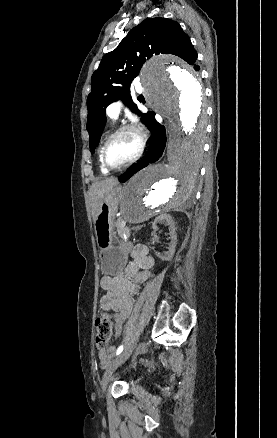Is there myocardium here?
I'll return each mask as SVG.
<instances>
[{"label": "myocardium", "mask_w": 277, "mask_h": 438, "mask_svg": "<svg viewBox=\"0 0 277 438\" xmlns=\"http://www.w3.org/2000/svg\"><path fill=\"white\" fill-rule=\"evenodd\" d=\"M124 133H131V134L136 136V138L138 140L137 151H136L135 155L127 162H125L119 166H112L108 162V159H107V150H108L110 144L112 143V141ZM144 147H145V137H144L143 133L141 132V130L136 125L127 124V125L121 126L118 129H116L106 139V141L102 147V151H101V162L108 170H111V171L125 169V168L131 166L133 163H135L142 156L143 151H144Z\"/></svg>", "instance_id": "f54148a6"}]
</instances>
